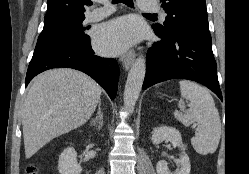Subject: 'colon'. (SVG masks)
<instances>
[{"mask_svg": "<svg viewBox=\"0 0 249 174\" xmlns=\"http://www.w3.org/2000/svg\"><path fill=\"white\" fill-rule=\"evenodd\" d=\"M26 174H39V171L35 165H29L26 170Z\"/></svg>", "mask_w": 249, "mask_h": 174, "instance_id": "5ec220e1", "label": "colon"}]
</instances>
